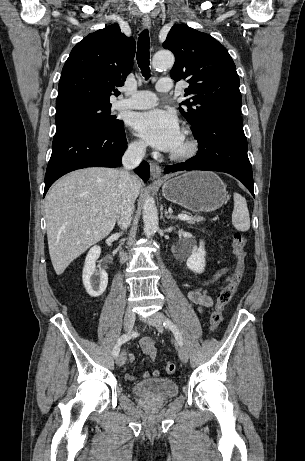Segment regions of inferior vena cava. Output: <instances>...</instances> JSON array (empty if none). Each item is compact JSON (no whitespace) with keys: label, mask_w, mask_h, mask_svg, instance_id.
<instances>
[{"label":"inferior vena cava","mask_w":305,"mask_h":461,"mask_svg":"<svg viewBox=\"0 0 305 461\" xmlns=\"http://www.w3.org/2000/svg\"><path fill=\"white\" fill-rule=\"evenodd\" d=\"M146 146L143 143H132L122 157L123 169L119 172V199L116 210L117 223L121 229H127L134 212L135 197L131 190L132 174L145 155Z\"/></svg>","instance_id":"1"}]
</instances>
